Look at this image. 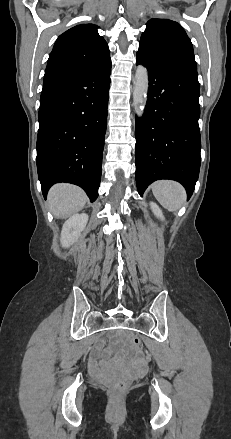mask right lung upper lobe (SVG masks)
Here are the masks:
<instances>
[{"mask_svg": "<svg viewBox=\"0 0 231 439\" xmlns=\"http://www.w3.org/2000/svg\"><path fill=\"white\" fill-rule=\"evenodd\" d=\"M93 24L77 25L55 42L43 84L88 74L110 59V51Z\"/></svg>", "mask_w": 231, "mask_h": 439, "instance_id": "obj_1", "label": "right lung upper lobe"}]
</instances>
